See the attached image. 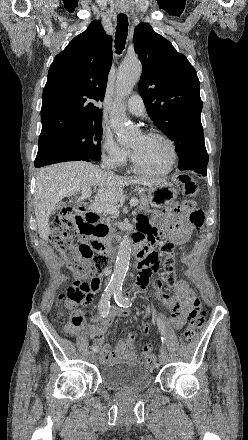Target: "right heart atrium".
Listing matches in <instances>:
<instances>
[{"label": "right heart atrium", "mask_w": 248, "mask_h": 440, "mask_svg": "<svg viewBox=\"0 0 248 440\" xmlns=\"http://www.w3.org/2000/svg\"><path fill=\"white\" fill-rule=\"evenodd\" d=\"M101 149L103 159L114 168H119L127 162L129 152L115 139L112 132L105 130L102 134Z\"/></svg>", "instance_id": "right-heart-atrium-1"}]
</instances>
